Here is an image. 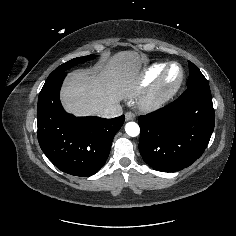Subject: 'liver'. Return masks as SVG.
<instances>
[{"label":"liver","mask_w":236,"mask_h":236,"mask_svg":"<svg viewBox=\"0 0 236 236\" xmlns=\"http://www.w3.org/2000/svg\"><path fill=\"white\" fill-rule=\"evenodd\" d=\"M138 61L136 52L123 51L97 70L70 73L61 90L65 110L76 116L101 115L122 99L134 80Z\"/></svg>","instance_id":"obj_1"}]
</instances>
